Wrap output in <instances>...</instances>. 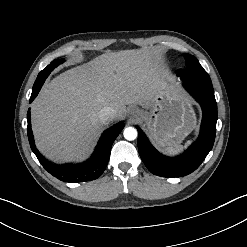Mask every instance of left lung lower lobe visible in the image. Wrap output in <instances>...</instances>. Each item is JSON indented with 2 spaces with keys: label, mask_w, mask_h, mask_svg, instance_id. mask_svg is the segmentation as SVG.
<instances>
[{
  "label": "left lung lower lobe",
  "mask_w": 247,
  "mask_h": 247,
  "mask_svg": "<svg viewBox=\"0 0 247 247\" xmlns=\"http://www.w3.org/2000/svg\"><path fill=\"white\" fill-rule=\"evenodd\" d=\"M182 81L185 89L202 108L203 117L197 141L184 154L175 158L167 157L159 153L138 128V151L142 161L152 174L166 178L184 177L195 171L211 151L216 134L217 103L212 83Z\"/></svg>",
  "instance_id": "obj_1"
}]
</instances>
